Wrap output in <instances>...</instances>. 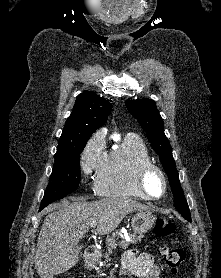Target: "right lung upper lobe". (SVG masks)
Instances as JSON below:
<instances>
[{"instance_id": "1", "label": "right lung upper lobe", "mask_w": 221, "mask_h": 278, "mask_svg": "<svg viewBox=\"0 0 221 278\" xmlns=\"http://www.w3.org/2000/svg\"><path fill=\"white\" fill-rule=\"evenodd\" d=\"M112 105L91 91L79 94L67 118L57 150L87 142L92 133L105 124Z\"/></svg>"}]
</instances>
